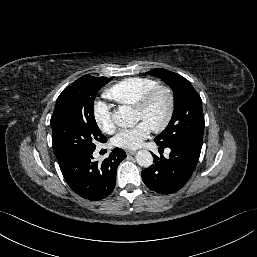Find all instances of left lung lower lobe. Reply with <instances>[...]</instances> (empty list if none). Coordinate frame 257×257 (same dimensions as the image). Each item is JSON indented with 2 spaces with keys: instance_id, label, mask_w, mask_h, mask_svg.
Here are the masks:
<instances>
[{
  "instance_id": "left-lung-lower-lobe-1",
  "label": "left lung lower lobe",
  "mask_w": 257,
  "mask_h": 257,
  "mask_svg": "<svg viewBox=\"0 0 257 257\" xmlns=\"http://www.w3.org/2000/svg\"><path fill=\"white\" fill-rule=\"evenodd\" d=\"M158 146L160 150L170 148V157L166 159L162 155H153L154 164L142 171V180L152 191L171 194L180 190L190 179L198 163L201 148L182 143Z\"/></svg>"
}]
</instances>
